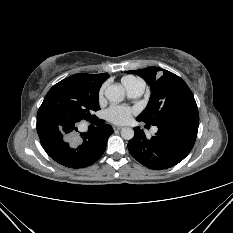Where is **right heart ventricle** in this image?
Returning a JSON list of instances; mask_svg holds the SVG:
<instances>
[{
    "instance_id": "right-heart-ventricle-1",
    "label": "right heart ventricle",
    "mask_w": 233,
    "mask_h": 233,
    "mask_svg": "<svg viewBox=\"0 0 233 233\" xmlns=\"http://www.w3.org/2000/svg\"><path fill=\"white\" fill-rule=\"evenodd\" d=\"M121 82L126 90L135 86V85L144 84V82L140 78L135 77V76H131V75L124 76L121 79Z\"/></svg>"
}]
</instances>
